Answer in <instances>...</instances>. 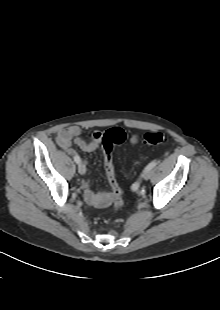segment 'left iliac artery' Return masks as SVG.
<instances>
[{"mask_svg":"<svg viewBox=\"0 0 220 310\" xmlns=\"http://www.w3.org/2000/svg\"><path fill=\"white\" fill-rule=\"evenodd\" d=\"M157 165V161L154 160L151 163H149L143 170L141 177H143L146 173H148L149 171H151L155 166ZM141 184V178H139L136 182H134L131 186V189L133 191H137L140 187Z\"/></svg>","mask_w":220,"mask_h":310,"instance_id":"44dca946","label":"left iliac artery"}]
</instances>
